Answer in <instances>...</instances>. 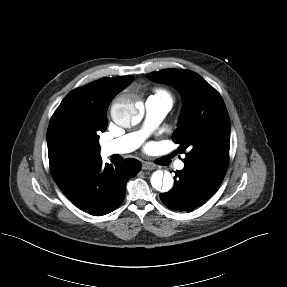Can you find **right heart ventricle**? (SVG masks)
Instances as JSON below:
<instances>
[{"label": "right heart ventricle", "instance_id": "obj_1", "mask_svg": "<svg viewBox=\"0 0 287 287\" xmlns=\"http://www.w3.org/2000/svg\"><path fill=\"white\" fill-rule=\"evenodd\" d=\"M154 96L167 98V99H170L172 101V97H171L170 93L168 91L164 90V89H157L155 91V95Z\"/></svg>", "mask_w": 287, "mask_h": 287}]
</instances>
